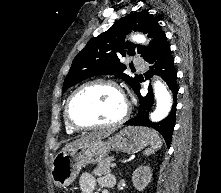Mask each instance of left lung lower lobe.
<instances>
[{"instance_id":"obj_1","label":"left lung lower lobe","mask_w":221,"mask_h":193,"mask_svg":"<svg viewBox=\"0 0 221 193\" xmlns=\"http://www.w3.org/2000/svg\"><path fill=\"white\" fill-rule=\"evenodd\" d=\"M146 61L152 65L149 76H152V73L158 74L167 83L169 89L171 90L173 96L172 109L169 115L162 121H150L148 119V114L153 104L154 95L149 86L148 94L145 97H142L139 93L140 85H138L134 91L139 98V112L137 116L128 120L125 125L151 127L162 134L167 145L169 146L176 121L175 113L177 105V93L179 89L177 85V71L174 67V58L171 55L170 45L168 42H163L159 49Z\"/></svg>"}]
</instances>
